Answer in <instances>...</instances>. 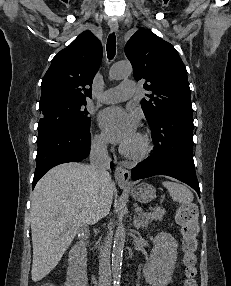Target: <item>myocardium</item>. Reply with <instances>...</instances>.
<instances>
[{
	"instance_id": "obj_1",
	"label": "myocardium",
	"mask_w": 231,
	"mask_h": 286,
	"mask_svg": "<svg viewBox=\"0 0 231 286\" xmlns=\"http://www.w3.org/2000/svg\"><path fill=\"white\" fill-rule=\"evenodd\" d=\"M137 136L140 140V147L137 150H129L124 146L120 148L121 153L125 157L134 161L145 159L152 151V142L150 137L142 132L138 133Z\"/></svg>"
}]
</instances>
